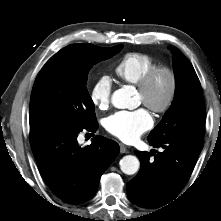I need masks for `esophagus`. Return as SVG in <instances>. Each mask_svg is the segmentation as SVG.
<instances>
[{
  "label": "esophagus",
  "mask_w": 221,
  "mask_h": 221,
  "mask_svg": "<svg viewBox=\"0 0 221 221\" xmlns=\"http://www.w3.org/2000/svg\"><path fill=\"white\" fill-rule=\"evenodd\" d=\"M119 146H120V152L121 153H126L127 152V147L123 143H120Z\"/></svg>",
  "instance_id": "1"
}]
</instances>
